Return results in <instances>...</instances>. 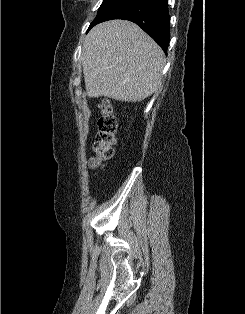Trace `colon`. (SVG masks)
<instances>
[{"label":"colon","mask_w":245,"mask_h":314,"mask_svg":"<svg viewBox=\"0 0 245 314\" xmlns=\"http://www.w3.org/2000/svg\"><path fill=\"white\" fill-rule=\"evenodd\" d=\"M100 109L99 131L94 144L96 156L89 161V166L92 170L103 168L104 162L109 160L114 154L113 145L115 143L117 125L110 101L103 99L100 102Z\"/></svg>","instance_id":"colon-1"}]
</instances>
